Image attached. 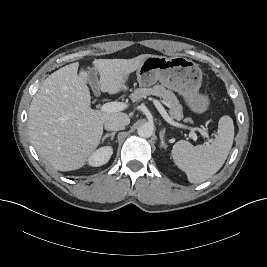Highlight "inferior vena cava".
Masks as SVG:
<instances>
[{
	"instance_id": "obj_1",
	"label": "inferior vena cava",
	"mask_w": 267,
	"mask_h": 267,
	"mask_svg": "<svg viewBox=\"0 0 267 267\" xmlns=\"http://www.w3.org/2000/svg\"><path fill=\"white\" fill-rule=\"evenodd\" d=\"M127 123L121 118H111L105 121L104 127L107 131L123 130Z\"/></svg>"
}]
</instances>
